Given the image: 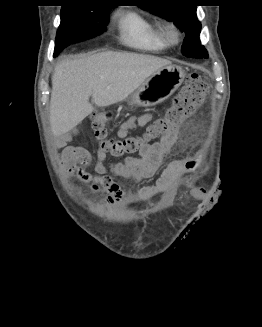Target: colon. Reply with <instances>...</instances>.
I'll return each instance as SVG.
<instances>
[{
  "label": "colon",
  "mask_w": 262,
  "mask_h": 327,
  "mask_svg": "<svg viewBox=\"0 0 262 327\" xmlns=\"http://www.w3.org/2000/svg\"><path fill=\"white\" fill-rule=\"evenodd\" d=\"M208 84L197 74L188 77L184 86L142 136H130L120 139L108 138L107 125L112 116L107 111H98L90 116L91 127L99 147L115 158L129 157L140 153L146 146L174 131L189 119L203 104L208 93Z\"/></svg>",
  "instance_id": "1"
}]
</instances>
